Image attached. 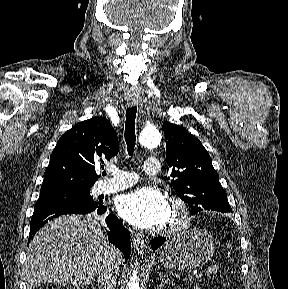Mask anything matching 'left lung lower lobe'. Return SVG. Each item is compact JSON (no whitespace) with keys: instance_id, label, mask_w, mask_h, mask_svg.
<instances>
[{"instance_id":"obj_1","label":"left lung lower lobe","mask_w":288,"mask_h":289,"mask_svg":"<svg viewBox=\"0 0 288 289\" xmlns=\"http://www.w3.org/2000/svg\"><path fill=\"white\" fill-rule=\"evenodd\" d=\"M166 241L165 237H159V238H155L151 241V248L153 250H156L157 248H159L164 242Z\"/></svg>"}]
</instances>
